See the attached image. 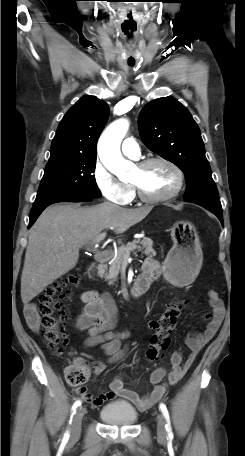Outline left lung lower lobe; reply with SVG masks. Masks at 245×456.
I'll list each match as a JSON object with an SVG mask.
<instances>
[{"label": "left lung lower lobe", "instance_id": "0a47b994", "mask_svg": "<svg viewBox=\"0 0 245 456\" xmlns=\"http://www.w3.org/2000/svg\"><path fill=\"white\" fill-rule=\"evenodd\" d=\"M209 211H211V210H209ZM211 212H212L213 214H215V215L218 217V219L220 220L221 224L223 225V219H222V218H223V215H222V212H215V211H211Z\"/></svg>", "mask_w": 245, "mask_h": 456}]
</instances>
